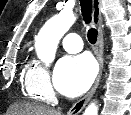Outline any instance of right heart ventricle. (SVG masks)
Instances as JSON below:
<instances>
[{"label": "right heart ventricle", "instance_id": "e07e8e85", "mask_svg": "<svg viewBox=\"0 0 131 115\" xmlns=\"http://www.w3.org/2000/svg\"><path fill=\"white\" fill-rule=\"evenodd\" d=\"M29 96H30L31 98L37 99L36 96H34V95L30 94V93H29Z\"/></svg>", "mask_w": 131, "mask_h": 115}]
</instances>
